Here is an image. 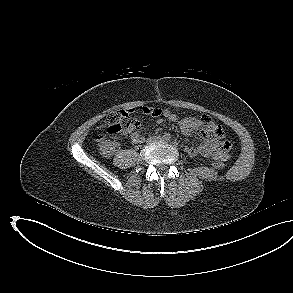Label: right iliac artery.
I'll return each instance as SVG.
<instances>
[{
  "mask_svg": "<svg viewBox=\"0 0 293 293\" xmlns=\"http://www.w3.org/2000/svg\"><path fill=\"white\" fill-rule=\"evenodd\" d=\"M170 138H171V136H170L169 133H165V134L163 135V139H165V140H170Z\"/></svg>",
  "mask_w": 293,
  "mask_h": 293,
  "instance_id": "obj_1",
  "label": "right iliac artery"
}]
</instances>
